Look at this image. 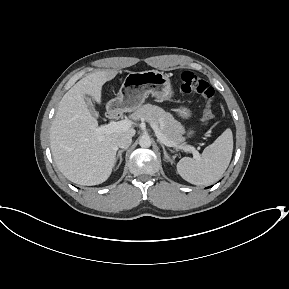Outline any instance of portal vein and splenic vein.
Returning a JSON list of instances; mask_svg holds the SVG:
<instances>
[{
    "mask_svg": "<svg viewBox=\"0 0 289 289\" xmlns=\"http://www.w3.org/2000/svg\"><path fill=\"white\" fill-rule=\"evenodd\" d=\"M132 125V122L130 120H121V121H111L106 125L99 126L96 131L98 134H110L117 131H126L128 130ZM152 129L155 131V134L157 138L166 146H176V143L170 142L162 133L161 128L157 126L156 123H151ZM184 148L191 150L193 153L194 158H199V152L195 150L191 146H184Z\"/></svg>",
    "mask_w": 289,
    "mask_h": 289,
    "instance_id": "obj_1",
    "label": "portal vein and splenic vein"
}]
</instances>
